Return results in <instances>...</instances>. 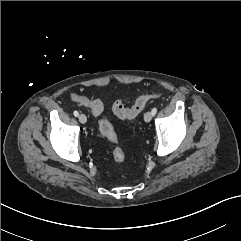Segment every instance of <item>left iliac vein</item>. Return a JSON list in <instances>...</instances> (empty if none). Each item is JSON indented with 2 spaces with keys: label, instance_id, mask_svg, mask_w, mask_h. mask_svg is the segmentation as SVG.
Here are the masks:
<instances>
[{
  "label": "left iliac vein",
  "instance_id": "1",
  "mask_svg": "<svg viewBox=\"0 0 241 241\" xmlns=\"http://www.w3.org/2000/svg\"><path fill=\"white\" fill-rule=\"evenodd\" d=\"M152 117H153L152 112H150V111L146 112L144 115L145 122H150Z\"/></svg>",
  "mask_w": 241,
  "mask_h": 241
}]
</instances>
